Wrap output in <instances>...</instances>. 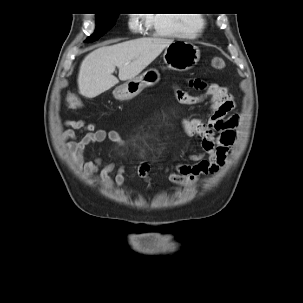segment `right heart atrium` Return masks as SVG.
I'll list each match as a JSON object with an SVG mask.
<instances>
[{
  "label": "right heart atrium",
  "instance_id": "1",
  "mask_svg": "<svg viewBox=\"0 0 303 303\" xmlns=\"http://www.w3.org/2000/svg\"><path fill=\"white\" fill-rule=\"evenodd\" d=\"M139 17L140 16L138 14H134L133 16H131L129 24H130V26L132 28H136L138 26V24H139Z\"/></svg>",
  "mask_w": 303,
  "mask_h": 303
}]
</instances>
